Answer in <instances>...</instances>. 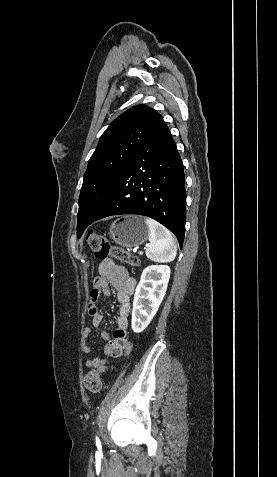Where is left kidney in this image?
<instances>
[{
    "label": "left kidney",
    "instance_id": "obj_1",
    "mask_svg": "<svg viewBox=\"0 0 277 477\" xmlns=\"http://www.w3.org/2000/svg\"><path fill=\"white\" fill-rule=\"evenodd\" d=\"M169 278L170 267L167 265H151L143 270L133 300L131 326L135 333L142 332L157 313Z\"/></svg>",
    "mask_w": 277,
    "mask_h": 477
}]
</instances>
